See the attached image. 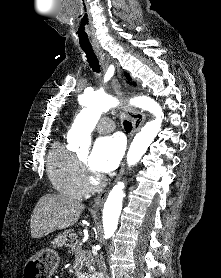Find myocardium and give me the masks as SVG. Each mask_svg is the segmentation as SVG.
<instances>
[{"instance_id": "f54148a6", "label": "myocardium", "mask_w": 221, "mask_h": 278, "mask_svg": "<svg viewBox=\"0 0 221 278\" xmlns=\"http://www.w3.org/2000/svg\"><path fill=\"white\" fill-rule=\"evenodd\" d=\"M81 167L83 172L84 184L87 189L98 190L104 186V179L91 172L83 160H81Z\"/></svg>"}]
</instances>
